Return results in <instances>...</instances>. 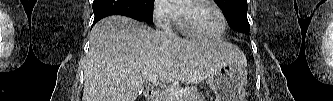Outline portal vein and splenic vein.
I'll use <instances>...</instances> for the list:
<instances>
[{"mask_svg":"<svg viewBox=\"0 0 333 101\" xmlns=\"http://www.w3.org/2000/svg\"><path fill=\"white\" fill-rule=\"evenodd\" d=\"M146 80L150 81L153 85H160L164 87L165 90L175 96L178 100H182L183 96L187 94L186 89H175L173 87H167L164 83L158 80L156 75H149L146 77Z\"/></svg>","mask_w":333,"mask_h":101,"instance_id":"18ae733b","label":"portal vein and splenic vein"}]
</instances>
